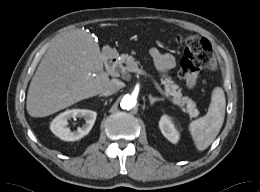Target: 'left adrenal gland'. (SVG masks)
Returning <instances> with one entry per match:
<instances>
[{
  "instance_id": "a2214340",
  "label": "left adrenal gland",
  "mask_w": 260,
  "mask_h": 192,
  "mask_svg": "<svg viewBox=\"0 0 260 192\" xmlns=\"http://www.w3.org/2000/svg\"><path fill=\"white\" fill-rule=\"evenodd\" d=\"M149 101H150V104L153 105L157 101H163V99L162 98L153 97L151 94H149Z\"/></svg>"
}]
</instances>
